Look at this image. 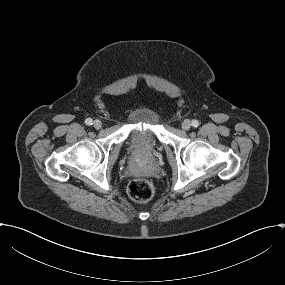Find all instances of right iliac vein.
<instances>
[{
    "instance_id": "right-iliac-vein-1",
    "label": "right iliac vein",
    "mask_w": 285,
    "mask_h": 285,
    "mask_svg": "<svg viewBox=\"0 0 285 285\" xmlns=\"http://www.w3.org/2000/svg\"><path fill=\"white\" fill-rule=\"evenodd\" d=\"M93 126L96 128V129H100L101 126H102V122L100 120H95L93 122Z\"/></svg>"
}]
</instances>
